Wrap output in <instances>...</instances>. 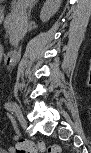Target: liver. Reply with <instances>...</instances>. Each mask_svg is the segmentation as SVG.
<instances>
[{
    "label": "liver",
    "instance_id": "liver-1",
    "mask_svg": "<svg viewBox=\"0 0 91 153\" xmlns=\"http://www.w3.org/2000/svg\"><path fill=\"white\" fill-rule=\"evenodd\" d=\"M32 0H20V2H19V7H20V9L23 11L27 6H29L30 5V2H31ZM48 2V1H47ZM50 2V4H52V5H54V6H56L57 7V9L59 8V6H60V0H52V1H49Z\"/></svg>",
    "mask_w": 91,
    "mask_h": 153
}]
</instances>
